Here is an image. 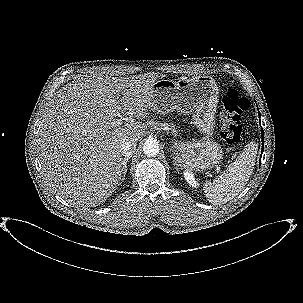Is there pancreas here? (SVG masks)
Wrapping results in <instances>:
<instances>
[{
	"instance_id": "1",
	"label": "pancreas",
	"mask_w": 303,
	"mask_h": 303,
	"mask_svg": "<svg viewBox=\"0 0 303 303\" xmlns=\"http://www.w3.org/2000/svg\"><path fill=\"white\" fill-rule=\"evenodd\" d=\"M171 127H172L171 132H172L174 138H176L177 137V130H175L174 126H171Z\"/></svg>"
}]
</instances>
